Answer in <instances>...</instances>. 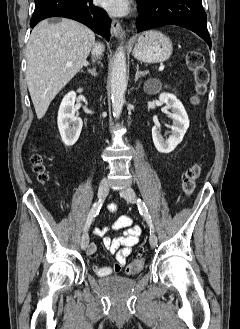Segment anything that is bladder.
<instances>
[{
    "mask_svg": "<svg viewBox=\"0 0 240 329\" xmlns=\"http://www.w3.org/2000/svg\"><path fill=\"white\" fill-rule=\"evenodd\" d=\"M100 286L112 295H123L136 286V279L124 276H109L99 281Z\"/></svg>",
    "mask_w": 240,
    "mask_h": 329,
    "instance_id": "bladder-1",
    "label": "bladder"
}]
</instances>
